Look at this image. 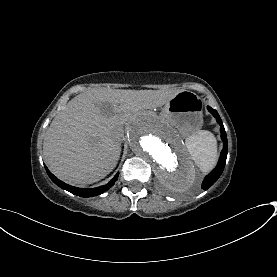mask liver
I'll return each instance as SVG.
<instances>
[{"mask_svg":"<svg viewBox=\"0 0 277 277\" xmlns=\"http://www.w3.org/2000/svg\"><path fill=\"white\" fill-rule=\"evenodd\" d=\"M174 96L158 90H90L75 96L44 135L50 170L73 184H92L117 165L129 122L143 109L161 107Z\"/></svg>","mask_w":277,"mask_h":277,"instance_id":"liver-1","label":"liver"}]
</instances>
